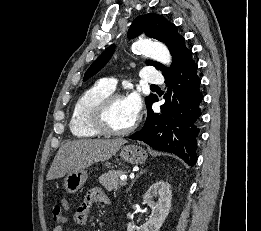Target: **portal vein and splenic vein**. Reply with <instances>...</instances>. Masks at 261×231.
I'll return each mask as SVG.
<instances>
[{
    "label": "portal vein and splenic vein",
    "mask_w": 261,
    "mask_h": 231,
    "mask_svg": "<svg viewBox=\"0 0 261 231\" xmlns=\"http://www.w3.org/2000/svg\"><path fill=\"white\" fill-rule=\"evenodd\" d=\"M121 181L123 182L124 185L126 184V178L121 177Z\"/></svg>",
    "instance_id": "obj_1"
}]
</instances>
